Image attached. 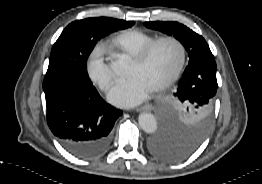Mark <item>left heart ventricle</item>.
<instances>
[{
    "label": "left heart ventricle",
    "instance_id": "left-heart-ventricle-1",
    "mask_svg": "<svg viewBox=\"0 0 262 184\" xmlns=\"http://www.w3.org/2000/svg\"><path fill=\"white\" fill-rule=\"evenodd\" d=\"M180 60V50L172 42L159 44L142 64L130 63L128 76H139L152 88L167 79L176 69Z\"/></svg>",
    "mask_w": 262,
    "mask_h": 184
}]
</instances>
